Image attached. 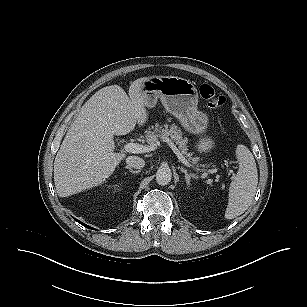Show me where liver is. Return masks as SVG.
I'll return each mask as SVG.
<instances>
[{
    "label": "liver",
    "mask_w": 307,
    "mask_h": 307,
    "mask_svg": "<svg viewBox=\"0 0 307 307\" xmlns=\"http://www.w3.org/2000/svg\"><path fill=\"white\" fill-rule=\"evenodd\" d=\"M135 80L129 96L118 85L98 90L81 108L54 161L58 195L67 197L100 185L126 157L115 153L114 135H126L148 118L142 83Z\"/></svg>",
    "instance_id": "obj_1"
}]
</instances>
